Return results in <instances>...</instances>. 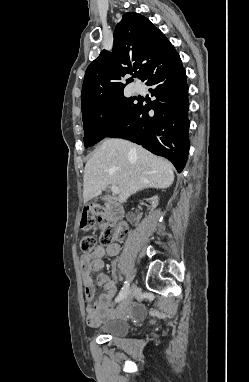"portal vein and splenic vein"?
Here are the masks:
<instances>
[{
    "mask_svg": "<svg viewBox=\"0 0 249 382\" xmlns=\"http://www.w3.org/2000/svg\"><path fill=\"white\" fill-rule=\"evenodd\" d=\"M111 191L115 195L120 193L119 188L116 185H111Z\"/></svg>",
    "mask_w": 249,
    "mask_h": 382,
    "instance_id": "obj_1",
    "label": "portal vein and splenic vein"
}]
</instances>
